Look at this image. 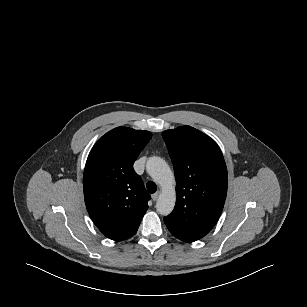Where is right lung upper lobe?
I'll use <instances>...</instances> for the list:
<instances>
[{
    "instance_id": "cb5924a9",
    "label": "right lung upper lobe",
    "mask_w": 307,
    "mask_h": 307,
    "mask_svg": "<svg viewBox=\"0 0 307 307\" xmlns=\"http://www.w3.org/2000/svg\"><path fill=\"white\" fill-rule=\"evenodd\" d=\"M151 137L148 131L118 127L102 136L88 156L85 204L94 224L109 239L132 237L148 209L150 195L133 163Z\"/></svg>"
}]
</instances>
